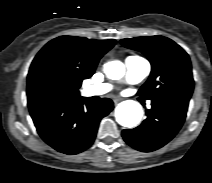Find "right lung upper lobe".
<instances>
[{"label":"right lung upper lobe","mask_w":212,"mask_h":183,"mask_svg":"<svg viewBox=\"0 0 212 183\" xmlns=\"http://www.w3.org/2000/svg\"><path fill=\"white\" fill-rule=\"evenodd\" d=\"M116 41L94 40L84 37L60 36L48 42L35 56L27 77L28 106L53 97L82 98L78 89L84 79L90 78L99 59L109 51ZM48 77L63 82L59 94L44 88Z\"/></svg>","instance_id":"cb5924a9"}]
</instances>
